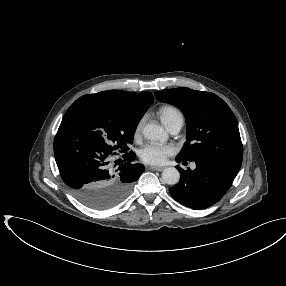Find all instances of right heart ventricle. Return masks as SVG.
I'll return each instance as SVG.
<instances>
[{"mask_svg": "<svg viewBox=\"0 0 286 286\" xmlns=\"http://www.w3.org/2000/svg\"><path fill=\"white\" fill-rule=\"evenodd\" d=\"M161 120L167 126L174 118L182 116L181 112L172 106H164L159 111Z\"/></svg>", "mask_w": 286, "mask_h": 286, "instance_id": "e07e8e85", "label": "right heart ventricle"}]
</instances>
